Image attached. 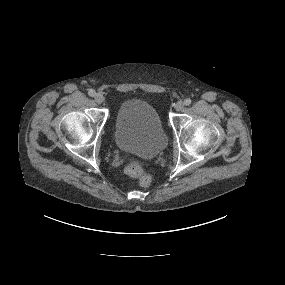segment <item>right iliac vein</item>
Listing matches in <instances>:
<instances>
[{
  "label": "right iliac vein",
  "instance_id": "right-iliac-vein-1",
  "mask_svg": "<svg viewBox=\"0 0 285 285\" xmlns=\"http://www.w3.org/2000/svg\"><path fill=\"white\" fill-rule=\"evenodd\" d=\"M94 99L97 104H101L104 101V97L101 93H97Z\"/></svg>",
  "mask_w": 285,
  "mask_h": 285
}]
</instances>
